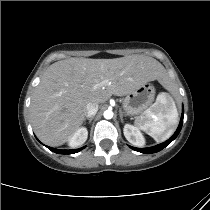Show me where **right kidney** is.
I'll return each mask as SVG.
<instances>
[{
    "instance_id": "obj_1",
    "label": "right kidney",
    "mask_w": 210,
    "mask_h": 210,
    "mask_svg": "<svg viewBox=\"0 0 210 210\" xmlns=\"http://www.w3.org/2000/svg\"><path fill=\"white\" fill-rule=\"evenodd\" d=\"M88 137L87 128L81 127L69 138L68 143L70 147H77L82 145Z\"/></svg>"
}]
</instances>
